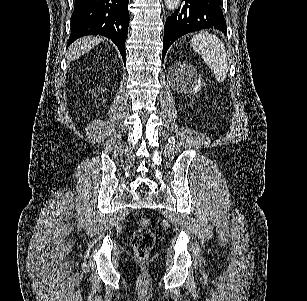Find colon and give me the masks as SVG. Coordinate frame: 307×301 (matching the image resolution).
I'll use <instances>...</instances> for the list:
<instances>
[{"label": "colon", "instance_id": "5ec220e1", "mask_svg": "<svg viewBox=\"0 0 307 301\" xmlns=\"http://www.w3.org/2000/svg\"><path fill=\"white\" fill-rule=\"evenodd\" d=\"M151 220L143 217L139 221V228L131 237V245L136 257L140 260L148 258L149 253L154 247L156 236L151 228Z\"/></svg>", "mask_w": 307, "mask_h": 301}]
</instances>
